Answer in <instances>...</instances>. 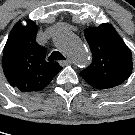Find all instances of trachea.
Segmentation results:
<instances>
[{"mask_svg": "<svg viewBox=\"0 0 135 135\" xmlns=\"http://www.w3.org/2000/svg\"><path fill=\"white\" fill-rule=\"evenodd\" d=\"M49 61L66 60L65 57L58 51L52 52L48 58Z\"/></svg>", "mask_w": 135, "mask_h": 135, "instance_id": "obj_1", "label": "trachea"}]
</instances>
